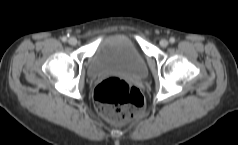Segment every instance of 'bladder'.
<instances>
[{
    "label": "bladder",
    "mask_w": 238,
    "mask_h": 145,
    "mask_svg": "<svg viewBox=\"0 0 238 145\" xmlns=\"http://www.w3.org/2000/svg\"><path fill=\"white\" fill-rule=\"evenodd\" d=\"M117 73L133 79L147 75V64L137 44L129 37L109 39L97 47L87 65V75L97 78Z\"/></svg>",
    "instance_id": "obj_1"
}]
</instances>
